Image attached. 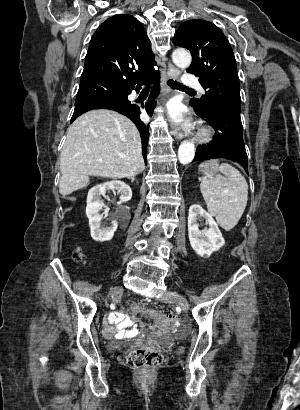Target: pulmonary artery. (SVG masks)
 <instances>
[{"mask_svg":"<svg viewBox=\"0 0 300 410\" xmlns=\"http://www.w3.org/2000/svg\"><path fill=\"white\" fill-rule=\"evenodd\" d=\"M183 83L186 87L197 88L200 92H204V89L199 84L198 78L193 75H185Z\"/></svg>","mask_w":300,"mask_h":410,"instance_id":"e3ab8cb5","label":"pulmonary artery"}]
</instances>
